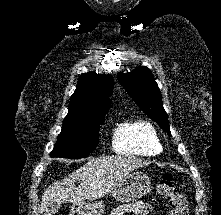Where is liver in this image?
Here are the masks:
<instances>
[{
	"instance_id": "liver-1",
	"label": "liver",
	"mask_w": 221,
	"mask_h": 215,
	"mask_svg": "<svg viewBox=\"0 0 221 215\" xmlns=\"http://www.w3.org/2000/svg\"><path fill=\"white\" fill-rule=\"evenodd\" d=\"M148 164L131 156H101L90 159L64 180L52 184L44 191L40 213L42 214L50 203H79L104 197L133 170ZM77 181L81 182L76 187Z\"/></svg>"
}]
</instances>
